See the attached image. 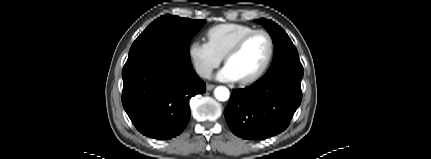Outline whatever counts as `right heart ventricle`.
Segmentation results:
<instances>
[{"label":"right heart ventricle","instance_id":"e07e8e85","mask_svg":"<svg viewBox=\"0 0 431 159\" xmlns=\"http://www.w3.org/2000/svg\"><path fill=\"white\" fill-rule=\"evenodd\" d=\"M254 30L249 25L225 23L213 26L206 35L209 44L222 57L245 34Z\"/></svg>","mask_w":431,"mask_h":159}]
</instances>
